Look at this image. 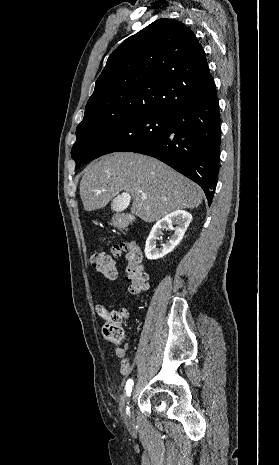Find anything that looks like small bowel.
Listing matches in <instances>:
<instances>
[{
    "label": "small bowel",
    "instance_id": "small-bowel-1",
    "mask_svg": "<svg viewBox=\"0 0 279 465\" xmlns=\"http://www.w3.org/2000/svg\"><path fill=\"white\" fill-rule=\"evenodd\" d=\"M128 349V344H124L123 347H116L115 348V353L119 358H122L121 366H120V371L123 375H127L132 371L133 368V363L129 358H126V351Z\"/></svg>",
    "mask_w": 279,
    "mask_h": 465
}]
</instances>
